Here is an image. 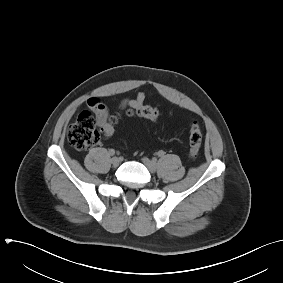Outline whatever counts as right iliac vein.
<instances>
[{"label": "right iliac vein", "instance_id": "obj_1", "mask_svg": "<svg viewBox=\"0 0 283 283\" xmlns=\"http://www.w3.org/2000/svg\"><path fill=\"white\" fill-rule=\"evenodd\" d=\"M111 163H112V166H113V167H118L119 164H120V159H119L118 157H113V158L111 159Z\"/></svg>", "mask_w": 283, "mask_h": 283}]
</instances>
